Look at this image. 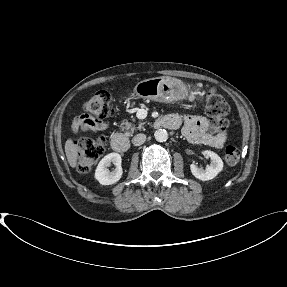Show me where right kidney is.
I'll return each instance as SVG.
<instances>
[{
    "label": "right kidney",
    "instance_id": "ca27d5eb",
    "mask_svg": "<svg viewBox=\"0 0 287 287\" xmlns=\"http://www.w3.org/2000/svg\"><path fill=\"white\" fill-rule=\"evenodd\" d=\"M121 156L118 153H110L99 162L95 170V178L101 185H111L120 180L123 174L121 167ZM113 163L116 168L113 171H109V167Z\"/></svg>",
    "mask_w": 287,
    "mask_h": 287
}]
</instances>
